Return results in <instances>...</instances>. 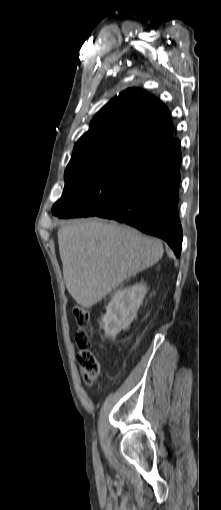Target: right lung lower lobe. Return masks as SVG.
<instances>
[{
	"instance_id": "obj_1",
	"label": "right lung lower lobe",
	"mask_w": 221,
	"mask_h": 510,
	"mask_svg": "<svg viewBox=\"0 0 221 510\" xmlns=\"http://www.w3.org/2000/svg\"><path fill=\"white\" fill-rule=\"evenodd\" d=\"M181 150L180 141L163 145L148 155L124 194L104 209L77 207L61 216H98L131 225L163 239L177 257L182 247V229L178 216Z\"/></svg>"
}]
</instances>
